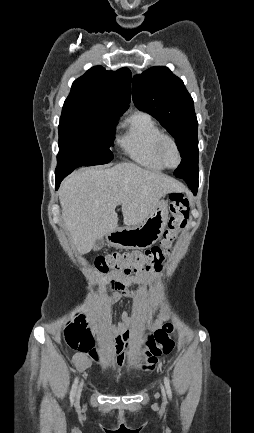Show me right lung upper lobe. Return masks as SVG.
<instances>
[{
    "label": "right lung upper lobe",
    "instance_id": "1",
    "mask_svg": "<svg viewBox=\"0 0 254 433\" xmlns=\"http://www.w3.org/2000/svg\"><path fill=\"white\" fill-rule=\"evenodd\" d=\"M131 72L127 68L106 71L102 66L89 69L76 79L63 107L89 106L106 110L116 119L130 103Z\"/></svg>",
    "mask_w": 254,
    "mask_h": 433
}]
</instances>
